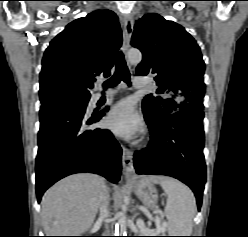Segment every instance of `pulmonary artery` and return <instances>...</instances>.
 Listing matches in <instances>:
<instances>
[{
    "label": "pulmonary artery",
    "instance_id": "1",
    "mask_svg": "<svg viewBox=\"0 0 248 237\" xmlns=\"http://www.w3.org/2000/svg\"><path fill=\"white\" fill-rule=\"evenodd\" d=\"M148 81L145 79V78H142V77H136L134 78V86L135 88L137 89H142V88H146L148 86ZM114 95V92H107L105 94H101V93H98L96 94L94 100L95 101H98L102 98H110Z\"/></svg>",
    "mask_w": 248,
    "mask_h": 237
}]
</instances>
